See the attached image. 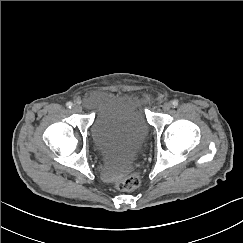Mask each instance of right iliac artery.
I'll return each mask as SVG.
<instances>
[{
	"mask_svg": "<svg viewBox=\"0 0 243 243\" xmlns=\"http://www.w3.org/2000/svg\"><path fill=\"white\" fill-rule=\"evenodd\" d=\"M66 106L71 109L73 107V103L72 102H67Z\"/></svg>",
	"mask_w": 243,
	"mask_h": 243,
	"instance_id": "right-iliac-artery-1",
	"label": "right iliac artery"
}]
</instances>
